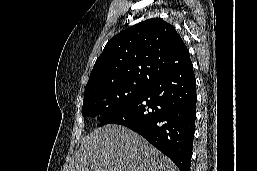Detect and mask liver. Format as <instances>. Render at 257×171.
Masks as SVG:
<instances>
[{"label": "liver", "mask_w": 257, "mask_h": 171, "mask_svg": "<svg viewBox=\"0 0 257 171\" xmlns=\"http://www.w3.org/2000/svg\"><path fill=\"white\" fill-rule=\"evenodd\" d=\"M70 171H175V167L143 137L114 124L82 139Z\"/></svg>", "instance_id": "liver-1"}]
</instances>
